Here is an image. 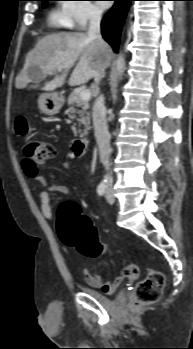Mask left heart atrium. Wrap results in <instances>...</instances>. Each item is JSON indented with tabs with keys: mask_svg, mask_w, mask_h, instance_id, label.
Instances as JSON below:
<instances>
[{
	"mask_svg": "<svg viewBox=\"0 0 193 349\" xmlns=\"http://www.w3.org/2000/svg\"><path fill=\"white\" fill-rule=\"evenodd\" d=\"M102 5H103L104 7H107V6H108V4H107V3H102Z\"/></svg>",
	"mask_w": 193,
	"mask_h": 349,
	"instance_id": "1",
	"label": "left heart atrium"
}]
</instances>
